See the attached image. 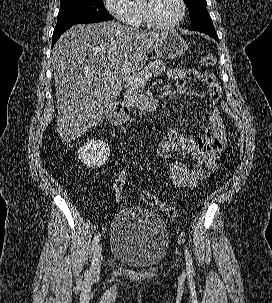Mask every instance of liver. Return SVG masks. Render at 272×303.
I'll return each instance as SVG.
<instances>
[{"label": "liver", "instance_id": "1", "mask_svg": "<svg viewBox=\"0 0 272 303\" xmlns=\"http://www.w3.org/2000/svg\"><path fill=\"white\" fill-rule=\"evenodd\" d=\"M167 33L105 21L78 24L61 35L52 56L56 127L63 142L99 123L120 94L124 78L144 66Z\"/></svg>", "mask_w": 272, "mask_h": 303}]
</instances>
